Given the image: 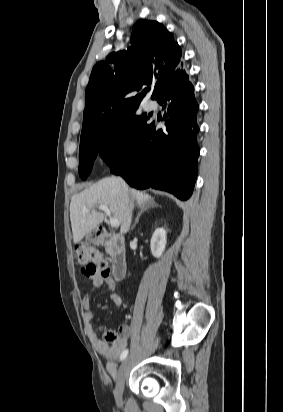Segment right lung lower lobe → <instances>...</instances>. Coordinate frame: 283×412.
Wrapping results in <instances>:
<instances>
[{
    "mask_svg": "<svg viewBox=\"0 0 283 412\" xmlns=\"http://www.w3.org/2000/svg\"><path fill=\"white\" fill-rule=\"evenodd\" d=\"M157 101L166 109L165 128L147 123L128 153L109 165L112 173L121 175L132 187L165 190L187 200L194 188L200 152L194 87L188 79L168 85Z\"/></svg>",
    "mask_w": 283,
    "mask_h": 412,
    "instance_id": "obj_1",
    "label": "right lung lower lobe"
}]
</instances>
